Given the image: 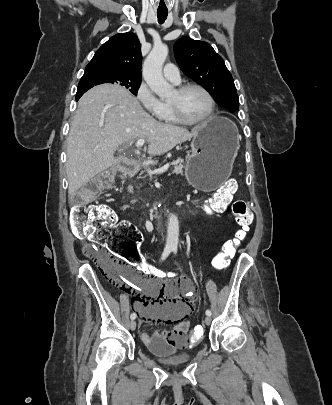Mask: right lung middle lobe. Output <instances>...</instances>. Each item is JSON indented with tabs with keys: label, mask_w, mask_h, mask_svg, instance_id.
<instances>
[{
	"label": "right lung middle lobe",
	"mask_w": 332,
	"mask_h": 405,
	"mask_svg": "<svg viewBox=\"0 0 332 405\" xmlns=\"http://www.w3.org/2000/svg\"><path fill=\"white\" fill-rule=\"evenodd\" d=\"M103 83H115L127 88L134 95H137L141 78L131 77L121 72L110 70H98L93 72H85L78 85V93H85L95 85Z\"/></svg>",
	"instance_id": "1"
}]
</instances>
